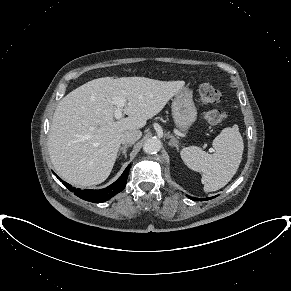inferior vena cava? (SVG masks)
Returning a JSON list of instances; mask_svg holds the SVG:
<instances>
[{"mask_svg": "<svg viewBox=\"0 0 291 291\" xmlns=\"http://www.w3.org/2000/svg\"><path fill=\"white\" fill-rule=\"evenodd\" d=\"M142 132L140 130H128L122 133L120 141L123 144H134L141 138Z\"/></svg>", "mask_w": 291, "mask_h": 291, "instance_id": "obj_1", "label": "inferior vena cava"}]
</instances>
